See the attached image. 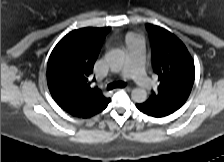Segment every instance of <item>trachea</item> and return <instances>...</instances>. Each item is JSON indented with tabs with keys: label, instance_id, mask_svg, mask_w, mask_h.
Returning <instances> with one entry per match:
<instances>
[{
	"label": "trachea",
	"instance_id": "obj_1",
	"mask_svg": "<svg viewBox=\"0 0 224 162\" xmlns=\"http://www.w3.org/2000/svg\"><path fill=\"white\" fill-rule=\"evenodd\" d=\"M125 86H126V83L125 82L117 81V82L109 83L107 85V89L108 90H112L114 88H122V87H125Z\"/></svg>",
	"mask_w": 224,
	"mask_h": 162
}]
</instances>
